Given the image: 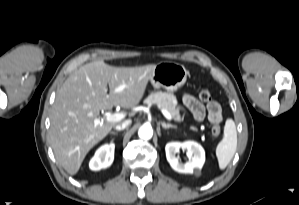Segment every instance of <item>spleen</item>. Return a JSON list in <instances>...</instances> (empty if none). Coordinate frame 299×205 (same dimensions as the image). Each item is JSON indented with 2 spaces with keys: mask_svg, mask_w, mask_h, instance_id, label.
<instances>
[{
  "mask_svg": "<svg viewBox=\"0 0 299 205\" xmlns=\"http://www.w3.org/2000/svg\"><path fill=\"white\" fill-rule=\"evenodd\" d=\"M237 148V131L232 119H228L224 127L223 139L216 147L219 169L224 170L233 158Z\"/></svg>",
  "mask_w": 299,
  "mask_h": 205,
  "instance_id": "obj_1",
  "label": "spleen"
}]
</instances>
